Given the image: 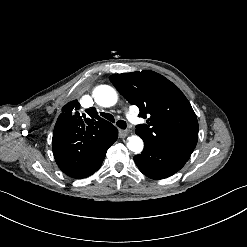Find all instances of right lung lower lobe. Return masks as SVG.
I'll use <instances>...</instances> for the list:
<instances>
[{
	"label": "right lung lower lobe",
	"mask_w": 247,
	"mask_h": 247,
	"mask_svg": "<svg viewBox=\"0 0 247 247\" xmlns=\"http://www.w3.org/2000/svg\"><path fill=\"white\" fill-rule=\"evenodd\" d=\"M118 134L110 143L103 147H96L91 152L78 158V155L65 156L59 153L60 145L64 141L53 140V153L59 168L68 176L76 179L86 178L97 171L105 158L108 148L117 140Z\"/></svg>",
	"instance_id": "obj_1"
}]
</instances>
